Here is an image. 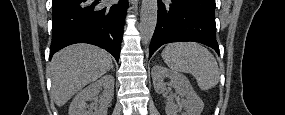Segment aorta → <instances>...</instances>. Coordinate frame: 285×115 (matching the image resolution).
Returning a JSON list of instances; mask_svg holds the SVG:
<instances>
[{"mask_svg": "<svg viewBox=\"0 0 285 115\" xmlns=\"http://www.w3.org/2000/svg\"><path fill=\"white\" fill-rule=\"evenodd\" d=\"M157 13V0H142L140 12V33L144 44H148L154 34L157 24Z\"/></svg>", "mask_w": 285, "mask_h": 115, "instance_id": "obj_1", "label": "aorta"}]
</instances>
